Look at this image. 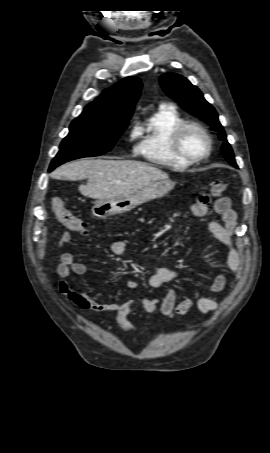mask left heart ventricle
<instances>
[{"label": "left heart ventricle", "mask_w": 270, "mask_h": 453, "mask_svg": "<svg viewBox=\"0 0 270 453\" xmlns=\"http://www.w3.org/2000/svg\"><path fill=\"white\" fill-rule=\"evenodd\" d=\"M182 148L190 156H200L206 152L207 140L196 129L187 130L182 137Z\"/></svg>", "instance_id": "1"}]
</instances>
